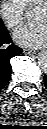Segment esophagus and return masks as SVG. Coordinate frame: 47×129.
Listing matches in <instances>:
<instances>
[{"label": "esophagus", "mask_w": 47, "mask_h": 129, "mask_svg": "<svg viewBox=\"0 0 47 129\" xmlns=\"http://www.w3.org/2000/svg\"><path fill=\"white\" fill-rule=\"evenodd\" d=\"M23 53H25V54H35L36 51L35 50H32V49L24 48L23 49Z\"/></svg>", "instance_id": "1"}]
</instances>
